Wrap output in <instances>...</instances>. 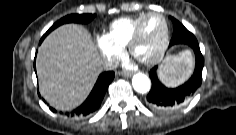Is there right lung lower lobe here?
I'll return each instance as SVG.
<instances>
[{
	"instance_id": "98d812e1",
	"label": "right lung lower lobe",
	"mask_w": 236,
	"mask_h": 135,
	"mask_svg": "<svg viewBox=\"0 0 236 135\" xmlns=\"http://www.w3.org/2000/svg\"><path fill=\"white\" fill-rule=\"evenodd\" d=\"M45 36L46 35L42 37L40 43L43 41ZM114 76L115 73L113 71L103 72L102 74H100L93 90L91 91L86 101L75 110L66 114L71 117H84L96 111L100 107L106 90L110 82L114 79Z\"/></svg>"
}]
</instances>
